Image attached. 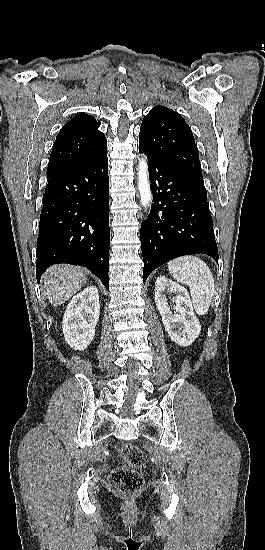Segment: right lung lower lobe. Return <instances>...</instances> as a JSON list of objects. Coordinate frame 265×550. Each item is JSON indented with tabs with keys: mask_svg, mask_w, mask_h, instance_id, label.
<instances>
[{
	"mask_svg": "<svg viewBox=\"0 0 265 550\" xmlns=\"http://www.w3.org/2000/svg\"><path fill=\"white\" fill-rule=\"evenodd\" d=\"M37 239L36 276L58 263L84 266L109 289L107 153L47 172Z\"/></svg>",
	"mask_w": 265,
	"mask_h": 550,
	"instance_id": "1",
	"label": "right lung lower lobe"
}]
</instances>
